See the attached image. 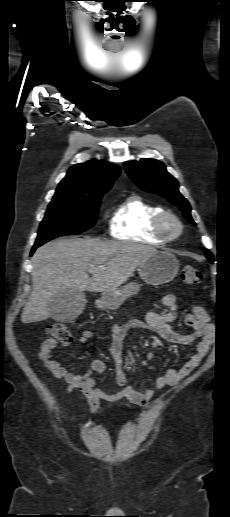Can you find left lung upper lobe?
Listing matches in <instances>:
<instances>
[{
	"instance_id": "1",
	"label": "left lung upper lobe",
	"mask_w": 230,
	"mask_h": 517,
	"mask_svg": "<svg viewBox=\"0 0 230 517\" xmlns=\"http://www.w3.org/2000/svg\"><path fill=\"white\" fill-rule=\"evenodd\" d=\"M129 177L143 190L159 194L169 202L179 207L190 222L195 224L191 217V208L188 201L180 194L178 181L166 171L162 162L155 159L142 158L140 161L124 163ZM207 258L213 263V254L206 250Z\"/></svg>"
}]
</instances>
